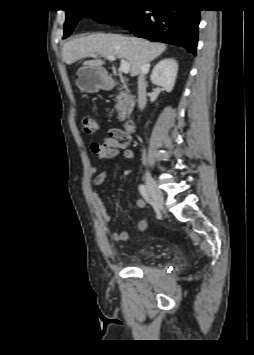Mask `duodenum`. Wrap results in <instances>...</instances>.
<instances>
[{"instance_id": "obj_1", "label": "duodenum", "mask_w": 254, "mask_h": 355, "mask_svg": "<svg viewBox=\"0 0 254 355\" xmlns=\"http://www.w3.org/2000/svg\"><path fill=\"white\" fill-rule=\"evenodd\" d=\"M124 130L128 134H132L135 131V122L132 119H129L124 124Z\"/></svg>"}]
</instances>
